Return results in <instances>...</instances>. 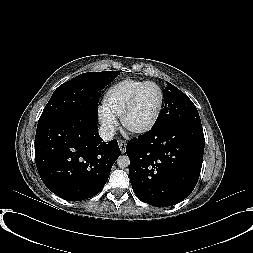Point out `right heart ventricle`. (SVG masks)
Wrapping results in <instances>:
<instances>
[{
  "instance_id": "1",
  "label": "right heart ventricle",
  "mask_w": 253,
  "mask_h": 253,
  "mask_svg": "<svg viewBox=\"0 0 253 253\" xmlns=\"http://www.w3.org/2000/svg\"><path fill=\"white\" fill-rule=\"evenodd\" d=\"M143 82L128 78L112 84L103 96V107L115 115H121L131 94Z\"/></svg>"
}]
</instances>
